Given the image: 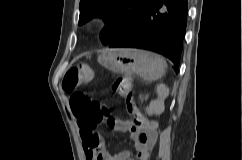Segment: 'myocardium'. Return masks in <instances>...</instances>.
<instances>
[{"label":"myocardium","instance_id":"myocardium-1","mask_svg":"<svg viewBox=\"0 0 242 160\" xmlns=\"http://www.w3.org/2000/svg\"><path fill=\"white\" fill-rule=\"evenodd\" d=\"M105 21V15L98 14L92 18V22L96 25L102 24Z\"/></svg>","mask_w":242,"mask_h":160}]
</instances>
